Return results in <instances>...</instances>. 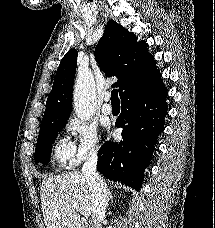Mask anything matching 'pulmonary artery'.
<instances>
[{
  "instance_id": "pulmonary-artery-1",
  "label": "pulmonary artery",
  "mask_w": 215,
  "mask_h": 228,
  "mask_svg": "<svg viewBox=\"0 0 215 228\" xmlns=\"http://www.w3.org/2000/svg\"><path fill=\"white\" fill-rule=\"evenodd\" d=\"M110 101H111V94L107 93L106 97H105V103L102 106V112L104 114H111L112 113L113 108H112Z\"/></svg>"
}]
</instances>
